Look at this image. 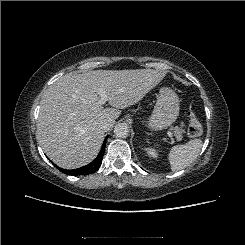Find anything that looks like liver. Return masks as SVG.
<instances>
[{
  "mask_svg": "<svg viewBox=\"0 0 245 245\" xmlns=\"http://www.w3.org/2000/svg\"><path fill=\"white\" fill-rule=\"evenodd\" d=\"M166 76L153 69L95 70L69 73L54 82L40 102L38 138L45 154L59 167L74 169L90 163L104 138L100 122L114 121L119 109L141 101ZM102 88L114 108L98 105Z\"/></svg>",
  "mask_w": 245,
  "mask_h": 245,
  "instance_id": "liver-1",
  "label": "liver"
}]
</instances>
